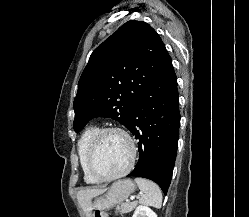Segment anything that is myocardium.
Segmentation results:
<instances>
[{"label": "myocardium", "instance_id": "f54148a6", "mask_svg": "<svg viewBox=\"0 0 249 217\" xmlns=\"http://www.w3.org/2000/svg\"><path fill=\"white\" fill-rule=\"evenodd\" d=\"M109 133H119L123 135L126 138L127 142L129 143L131 154H130V160L123 170L112 175L104 176V175L99 174L95 170L94 165H93V160H94V156H95L97 147L99 145V142L105 135ZM136 158H137V147L131 135L122 128L107 127V128L100 129L95 135V137L93 138V140L91 141L89 149H88V153H87L86 164H87V169L89 173L91 174V176H93L96 180L100 182H105V181H112V180L118 179L120 177H123L127 173H129L135 165Z\"/></svg>", "mask_w": 249, "mask_h": 217}]
</instances>
